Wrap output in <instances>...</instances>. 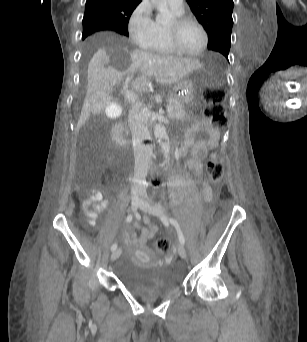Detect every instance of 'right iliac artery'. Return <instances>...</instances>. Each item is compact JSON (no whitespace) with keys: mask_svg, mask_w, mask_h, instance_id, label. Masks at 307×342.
<instances>
[{"mask_svg":"<svg viewBox=\"0 0 307 342\" xmlns=\"http://www.w3.org/2000/svg\"><path fill=\"white\" fill-rule=\"evenodd\" d=\"M133 220V215H128L127 218H126V221L127 222H131ZM117 249V244L114 243L112 246H111V251H114Z\"/></svg>","mask_w":307,"mask_h":342,"instance_id":"82829eb1","label":"right iliac artery"}]
</instances>
